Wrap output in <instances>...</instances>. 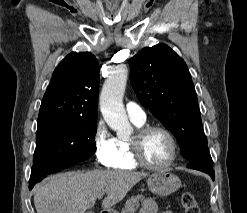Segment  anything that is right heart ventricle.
<instances>
[{
	"instance_id": "right-heart-ventricle-1",
	"label": "right heart ventricle",
	"mask_w": 247,
	"mask_h": 213,
	"mask_svg": "<svg viewBox=\"0 0 247 213\" xmlns=\"http://www.w3.org/2000/svg\"><path fill=\"white\" fill-rule=\"evenodd\" d=\"M133 124L138 128L143 126V123L133 122ZM115 145L117 155L112 167L122 170L136 169L137 164L132 160L129 148V140L123 138H116Z\"/></svg>"
}]
</instances>
